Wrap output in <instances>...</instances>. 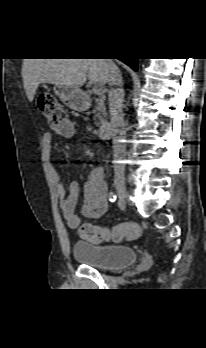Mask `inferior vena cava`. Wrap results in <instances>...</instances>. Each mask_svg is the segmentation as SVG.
<instances>
[{
  "label": "inferior vena cava",
  "instance_id": "obj_1",
  "mask_svg": "<svg viewBox=\"0 0 206 348\" xmlns=\"http://www.w3.org/2000/svg\"><path fill=\"white\" fill-rule=\"evenodd\" d=\"M109 68V112L111 121V130L113 138V157L114 160L120 161L125 158L126 146L124 144L125 139V124L123 116V81L119 68L115 65L112 59H104ZM124 170L123 166L120 167Z\"/></svg>",
  "mask_w": 206,
  "mask_h": 348
}]
</instances>
